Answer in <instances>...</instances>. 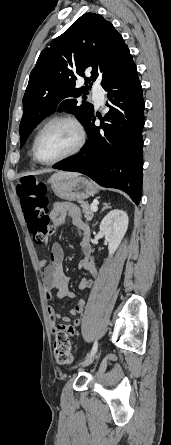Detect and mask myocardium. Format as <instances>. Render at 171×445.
<instances>
[{
	"instance_id": "f54148a6",
	"label": "myocardium",
	"mask_w": 171,
	"mask_h": 445,
	"mask_svg": "<svg viewBox=\"0 0 171 445\" xmlns=\"http://www.w3.org/2000/svg\"><path fill=\"white\" fill-rule=\"evenodd\" d=\"M59 123L69 124L75 129V131L77 133V142H76L75 146L70 151H68L67 153L63 154L62 156H60L56 159H53L50 161L41 160L37 154V144H38L39 138L41 137V135L44 133V131L46 129H48L52 125L59 124ZM85 142H86V130H85L83 124L78 119H76L75 117H72V116H67V115L57 116V117H54V118L48 120L36 134L34 141H33V145H32V155H33L34 160L39 164L53 165V164H56L62 160L70 158V157L76 155L77 153H79L80 150L83 148Z\"/></svg>"
}]
</instances>
